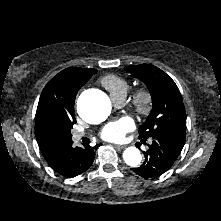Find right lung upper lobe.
I'll return each mask as SVG.
<instances>
[{"label": "right lung upper lobe", "mask_w": 221, "mask_h": 221, "mask_svg": "<svg viewBox=\"0 0 221 221\" xmlns=\"http://www.w3.org/2000/svg\"><path fill=\"white\" fill-rule=\"evenodd\" d=\"M95 69L70 67L52 78L42 91L35 116V135L43 156L72 141L65 126L74 122V101Z\"/></svg>", "instance_id": "1"}]
</instances>
